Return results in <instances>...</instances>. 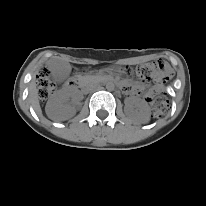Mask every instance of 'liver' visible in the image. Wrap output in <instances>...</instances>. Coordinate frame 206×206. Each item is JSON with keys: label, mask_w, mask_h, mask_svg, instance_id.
Here are the masks:
<instances>
[{"label": "liver", "mask_w": 206, "mask_h": 206, "mask_svg": "<svg viewBox=\"0 0 206 206\" xmlns=\"http://www.w3.org/2000/svg\"><path fill=\"white\" fill-rule=\"evenodd\" d=\"M29 102L31 104V106L33 107V109L35 110V112L38 115L42 114L41 111V107L39 104V99H38V90L36 88V82L35 80H32L29 86V96H28ZM48 117L54 121L60 122V121H65L69 118L72 117V114H69L68 112H58L55 114H50L47 113Z\"/></svg>", "instance_id": "obj_1"}]
</instances>
